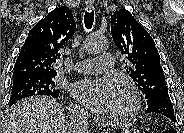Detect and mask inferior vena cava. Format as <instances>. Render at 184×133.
I'll list each match as a JSON object with an SVG mask.
<instances>
[{
  "label": "inferior vena cava",
  "mask_w": 184,
  "mask_h": 133,
  "mask_svg": "<svg viewBox=\"0 0 184 133\" xmlns=\"http://www.w3.org/2000/svg\"><path fill=\"white\" fill-rule=\"evenodd\" d=\"M69 133H88V112L80 107H73L69 111Z\"/></svg>",
  "instance_id": "obj_1"
}]
</instances>
